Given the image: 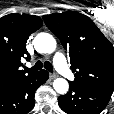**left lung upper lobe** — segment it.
<instances>
[{
    "mask_svg": "<svg viewBox=\"0 0 114 114\" xmlns=\"http://www.w3.org/2000/svg\"><path fill=\"white\" fill-rule=\"evenodd\" d=\"M43 19L69 52L74 82L113 92L114 47L93 21L74 11Z\"/></svg>",
    "mask_w": 114,
    "mask_h": 114,
    "instance_id": "5c2ea615",
    "label": "left lung upper lobe"
}]
</instances>
